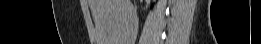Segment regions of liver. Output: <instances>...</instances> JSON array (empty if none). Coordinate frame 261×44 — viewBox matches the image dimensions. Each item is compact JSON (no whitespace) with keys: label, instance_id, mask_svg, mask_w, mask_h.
I'll return each instance as SVG.
<instances>
[{"label":"liver","instance_id":"liver-1","mask_svg":"<svg viewBox=\"0 0 261 44\" xmlns=\"http://www.w3.org/2000/svg\"><path fill=\"white\" fill-rule=\"evenodd\" d=\"M97 32V44L131 42L126 24H134L131 0H89Z\"/></svg>","mask_w":261,"mask_h":44}]
</instances>
